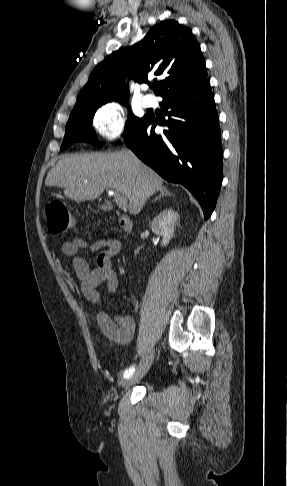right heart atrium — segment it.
Masks as SVG:
<instances>
[{
	"instance_id": "d8ad5b80",
	"label": "right heart atrium",
	"mask_w": 287,
	"mask_h": 486,
	"mask_svg": "<svg viewBox=\"0 0 287 486\" xmlns=\"http://www.w3.org/2000/svg\"><path fill=\"white\" fill-rule=\"evenodd\" d=\"M125 115L115 103L100 106L93 114L92 127L106 141H115L124 132Z\"/></svg>"
}]
</instances>
